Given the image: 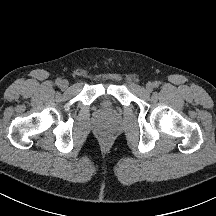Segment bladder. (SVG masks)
I'll use <instances>...</instances> for the list:
<instances>
[{
	"mask_svg": "<svg viewBox=\"0 0 216 216\" xmlns=\"http://www.w3.org/2000/svg\"><path fill=\"white\" fill-rule=\"evenodd\" d=\"M101 109L108 113L110 112L112 105H113V100L109 97H103L100 101Z\"/></svg>",
	"mask_w": 216,
	"mask_h": 216,
	"instance_id": "1",
	"label": "bladder"
}]
</instances>
